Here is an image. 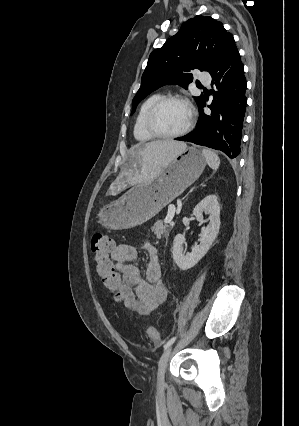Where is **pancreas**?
Returning a JSON list of instances; mask_svg holds the SVG:
<instances>
[{
	"instance_id": "pancreas-1",
	"label": "pancreas",
	"mask_w": 299,
	"mask_h": 426,
	"mask_svg": "<svg viewBox=\"0 0 299 426\" xmlns=\"http://www.w3.org/2000/svg\"><path fill=\"white\" fill-rule=\"evenodd\" d=\"M151 229L158 238H161L162 235H168L171 230L170 226L163 224L161 220H158Z\"/></svg>"
}]
</instances>
